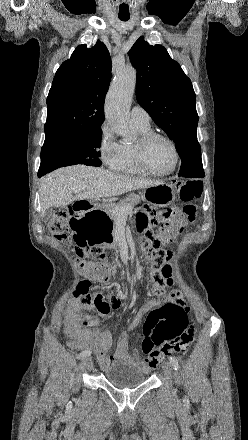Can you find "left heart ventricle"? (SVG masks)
<instances>
[{"mask_svg":"<svg viewBox=\"0 0 248 440\" xmlns=\"http://www.w3.org/2000/svg\"><path fill=\"white\" fill-rule=\"evenodd\" d=\"M146 160L151 170L155 172L168 171L174 162L171 145L163 139H155L148 146Z\"/></svg>","mask_w":248,"mask_h":440,"instance_id":"1","label":"left heart ventricle"}]
</instances>
